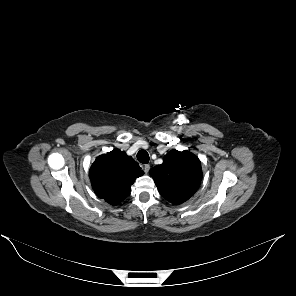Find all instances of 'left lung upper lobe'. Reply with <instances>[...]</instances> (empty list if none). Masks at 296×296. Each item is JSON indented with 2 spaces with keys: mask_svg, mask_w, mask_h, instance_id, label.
I'll return each instance as SVG.
<instances>
[{
  "mask_svg": "<svg viewBox=\"0 0 296 296\" xmlns=\"http://www.w3.org/2000/svg\"><path fill=\"white\" fill-rule=\"evenodd\" d=\"M149 174L160 194L175 205L188 200L202 179L200 160L189 151L171 150L163 163L150 169Z\"/></svg>",
  "mask_w": 296,
  "mask_h": 296,
  "instance_id": "1",
  "label": "left lung upper lobe"
}]
</instances>
